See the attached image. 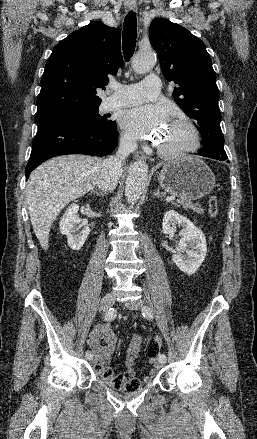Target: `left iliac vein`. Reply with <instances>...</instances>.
<instances>
[{
  "label": "left iliac vein",
  "instance_id": "obj_1",
  "mask_svg": "<svg viewBox=\"0 0 257 439\" xmlns=\"http://www.w3.org/2000/svg\"><path fill=\"white\" fill-rule=\"evenodd\" d=\"M123 304L132 310H139L143 306V302L139 299L132 300V301H125V302H123ZM164 364H165V362L158 361V367H162Z\"/></svg>",
  "mask_w": 257,
  "mask_h": 439
}]
</instances>
